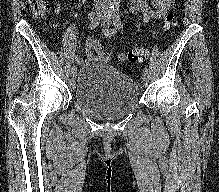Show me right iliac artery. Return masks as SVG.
<instances>
[{
    "label": "right iliac artery",
    "mask_w": 219,
    "mask_h": 192,
    "mask_svg": "<svg viewBox=\"0 0 219 192\" xmlns=\"http://www.w3.org/2000/svg\"><path fill=\"white\" fill-rule=\"evenodd\" d=\"M115 7L114 4H110L108 6V10H113ZM90 19H91V22L89 24V29L90 30H93L95 29L99 24H100V21H101V18H102V15L100 16H95L94 13H91L90 15ZM79 60V57L78 56H75V58L73 59V63L74 62H77Z\"/></svg>",
    "instance_id": "obj_1"
}]
</instances>
